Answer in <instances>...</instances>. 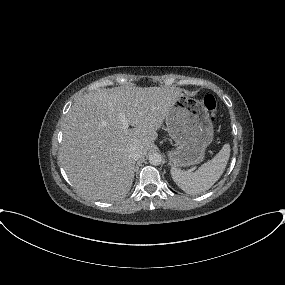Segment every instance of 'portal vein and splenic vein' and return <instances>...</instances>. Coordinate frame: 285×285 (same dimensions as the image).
<instances>
[{"mask_svg":"<svg viewBox=\"0 0 285 285\" xmlns=\"http://www.w3.org/2000/svg\"><path fill=\"white\" fill-rule=\"evenodd\" d=\"M119 117H120V119L122 121L123 128L127 129L129 127V123H128V120H127L126 116L123 113H120Z\"/></svg>","mask_w":285,"mask_h":285,"instance_id":"18ae733b","label":"portal vein and splenic vein"}]
</instances>
